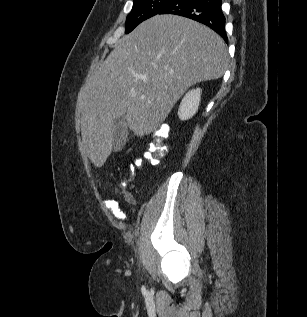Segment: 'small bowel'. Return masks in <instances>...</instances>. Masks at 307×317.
<instances>
[{
    "instance_id": "obj_1",
    "label": "small bowel",
    "mask_w": 307,
    "mask_h": 317,
    "mask_svg": "<svg viewBox=\"0 0 307 317\" xmlns=\"http://www.w3.org/2000/svg\"><path fill=\"white\" fill-rule=\"evenodd\" d=\"M109 175L108 173H105L104 176H100L97 179V184H98V188L100 190L104 189L105 186V181H107ZM128 197V195H127ZM104 204L106 206V208L111 212V214L118 220V221H125L127 219V215L126 213L123 211V209L121 208L120 204L118 201L114 200V199H106L104 201Z\"/></svg>"
}]
</instances>
